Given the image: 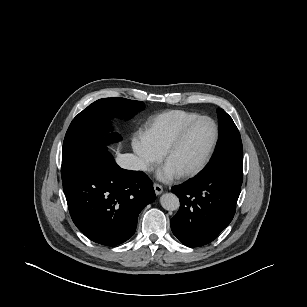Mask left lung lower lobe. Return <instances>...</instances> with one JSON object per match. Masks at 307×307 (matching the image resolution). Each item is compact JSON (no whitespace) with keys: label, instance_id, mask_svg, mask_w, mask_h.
Wrapping results in <instances>:
<instances>
[{"label":"left lung lower lobe","instance_id":"obj_1","mask_svg":"<svg viewBox=\"0 0 307 307\" xmlns=\"http://www.w3.org/2000/svg\"><path fill=\"white\" fill-rule=\"evenodd\" d=\"M241 184L229 175L210 173L172 187L181 203L170 222L173 234L188 247L213 241L234 217Z\"/></svg>","mask_w":307,"mask_h":307}]
</instances>
